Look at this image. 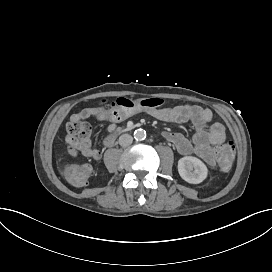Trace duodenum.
<instances>
[{"mask_svg":"<svg viewBox=\"0 0 272 272\" xmlns=\"http://www.w3.org/2000/svg\"><path fill=\"white\" fill-rule=\"evenodd\" d=\"M112 140H113V136H110L106 139V144L109 145L112 143Z\"/></svg>","mask_w":272,"mask_h":272,"instance_id":"410a0bca","label":"duodenum"}]
</instances>
